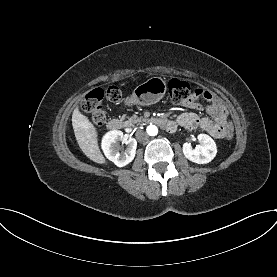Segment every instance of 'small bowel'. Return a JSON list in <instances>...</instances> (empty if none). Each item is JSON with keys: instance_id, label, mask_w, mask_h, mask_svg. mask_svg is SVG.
Returning a JSON list of instances; mask_svg holds the SVG:
<instances>
[{"instance_id": "small-bowel-1", "label": "small bowel", "mask_w": 277, "mask_h": 277, "mask_svg": "<svg viewBox=\"0 0 277 277\" xmlns=\"http://www.w3.org/2000/svg\"><path fill=\"white\" fill-rule=\"evenodd\" d=\"M203 98L209 102L205 107L206 112L211 118L198 117L193 112H185L179 115L175 121L176 127L181 126L189 130L200 127L211 136L222 139L225 138L226 127L228 124V111L221 100L211 91L206 89H196L194 99L184 103L183 105L192 110H202L203 106L197 101L198 98Z\"/></svg>"}]
</instances>
